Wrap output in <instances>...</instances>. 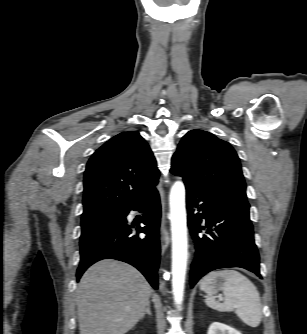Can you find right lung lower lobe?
I'll return each mask as SVG.
<instances>
[{
    "label": "right lung lower lobe",
    "instance_id": "right-lung-lower-lobe-1",
    "mask_svg": "<svg viewBox=\"0 0 307 334\" xmlns=\"http://www.w3.org/2000/svg\"><path fill=\"white\" fill-rule=\"evenodd\" d=\"M130 210L144 212L142 223L137 228L147 236L140 239L132 235L126 216ZM161 217L160 199L154 187L122 213L119 222L80 245V264L77 281L85 270L95 262L111 258L127 262L136 267L155 289L158 288L157 270L160 259L159 226Z\"/></svg>",
    "mask_w": 307,
    "mask_h": 334
}]
</instances>
